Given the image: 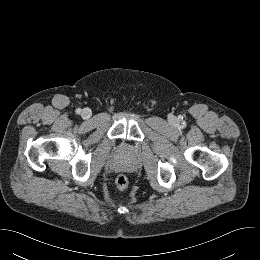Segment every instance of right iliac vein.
<instances>
[{
    "instance_id": "right-iliac-vein-1",
    "label": "right iliac vein",
    "mask_w": 260,
    "mask_h": 260,
    "mask_svg": "<svg viewBox=\"0 0 260 260\" xmlns=\"http://www.w3.org/2000/svg\"><path fill=\"white\" fill-rule=\"evenodd\" d=\"M92 115V112L89 108H85L81 112V116L83 119H89Z\"/></svg>"
}]
</instances>
